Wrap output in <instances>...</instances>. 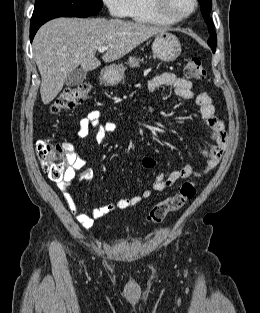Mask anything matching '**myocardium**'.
<instances>
[{
	"instance_id": "obj_1",
	"label": "myocardium",
	"mask_w": 260,
	"mask_h": 313,
	"mask_svg": "<svg viewBox=\"0 0 260 313\" xmlns=\"http://www.w3.org/2000/svg\"><path fill=\"white\" fill-rule=\"evenodd\" d=\"M193 6L190 11L179 15V16H173L171 15L167 9L165 8V0H152V7L155 11V13L162 18L163 20L167 21L170 24H175L182 22L183 20L190 17L198 8V0H192Z\"/></svg>"
}]
</instances>
